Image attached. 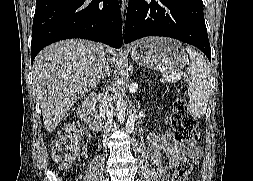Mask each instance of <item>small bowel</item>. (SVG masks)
I'll return each instance as SVG.
<instances>
[{"label": "small bowel", "instance_id": "c3829d8e", "mask_svg": "<svg viewBox=\"0 0 253 181\" xmlns=\"http://www.w3.org/2000/svg\"><path fill=\"white\" fill-rule=\"evenodd\" d=\"M147 152L157 172V178L165 181L176 170L178 162L185 158L197 161L201 149L194 144L179 143L165 134L151 137Z\"/></svg>", "mask_w": 253, "mask_h": 181}]
</instances>
